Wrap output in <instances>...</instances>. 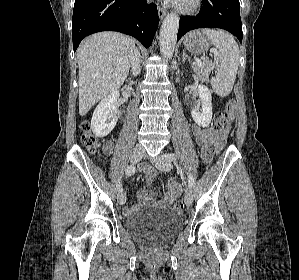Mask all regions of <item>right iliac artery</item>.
Masks as SVG:
<instances>
[{
	"mask_svg": "<svg viewBox=\"0 0 299 280\" xmlns=\"http://www.w3.org/2000/svg\"><path fill=\"white\" fill-rule=\"evenodd\" d=\"M134 173H135V166H133V165L128 166V167L126 168V170H125V174L128 175V176H130V175H132V174H134ZM117 190H118L119 192H122V191H123V188H122V185H121L120 182L117 183Z\"/></svg>",
	"mask_w": 299,
	"mask_h": 280,
	"instance_id": "obj_1",
	"label": "right iliac artery"
}]
</instances>
